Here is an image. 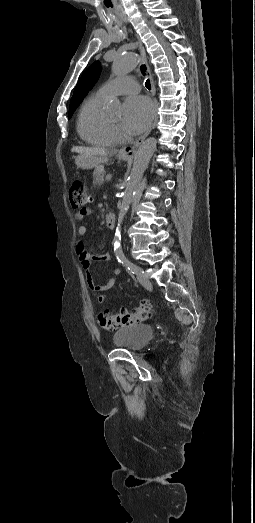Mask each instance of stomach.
I'll use <instances>...</instances> for the list:
<instances>
[{
  "mask_svg": "<svg viewBox=\"0 0 255 523\" xmlns=\"http://www.w3.org/2000/svg\"><path fill=\"white\" fill-rule=\"evenodd\" d=\"M119 160H130L132 158L131 154H128L126 152L125 148L124 150H121L118 154ZM107 162V160H106ZM75 164L78 166V168H82V170H92V168H96L100 162H98L97 158H85V156H77L75 158Z\"/></svg>",
  "mask_w": 255,
  "mask_h": 523,
  "instance_id": "1",
  "label": "stomach"
}]
</instances>
